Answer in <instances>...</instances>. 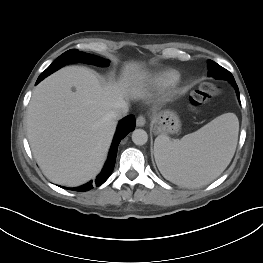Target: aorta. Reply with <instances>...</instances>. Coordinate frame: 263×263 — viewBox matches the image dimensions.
<instances>
[{
    "instance_id": "1",
    "label": "aorta",
    "mask_w": 263,
    "mask_h": 263,
    "mask_svg": "<svg viewBox=\"0 0 263 263\" xmlns=\"http://www.w3.org/2000/svg\"><path fill=\"white\" fill-rule=\"evenodd\" d=\"M132 141L136 145H144L148 141V134L143 129H135L132 132Z\"/></svg>"
}]
</instances>
